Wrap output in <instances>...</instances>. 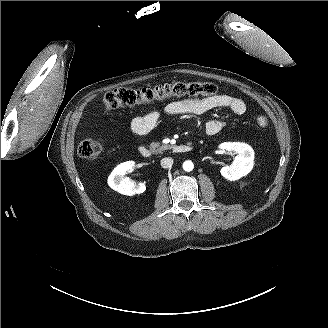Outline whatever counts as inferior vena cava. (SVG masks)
<instances>
[{
    "instance_id": "obj_1",
    "label": "inferior vena cava",
    "mask_w": 328,
    "mask_h": 328,
    "mask_svg": "<svg viewBox=\"0 0 328 328\" xmlns=\"http://www.w3.org/2000/svg\"><path fill=\"white\" fill-rule=\"evenodd\" d=\"M173 165V159L171 157H166L161 160V166L163 168H171Z\"/></svg>"
}]
</instances>
